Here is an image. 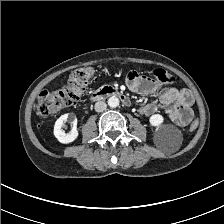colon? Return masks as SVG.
<instances>
[{"instance_id": "obj_1", "label": "colon", "mask_w": 224, "mask_h": 224, "mask_svg": "<svg viewBox=\"0 0 224 224\" xmlns=\"http://www.w3.org/2000/svg\"><path fill=\"white\" fill-rule=\"evenodd\" d=\"M155 78L164 84H173L174 76L164 68L154 71ZM94 80V69L90 66H81L75 69L68 80L67 85L55 91H42L37 99L36 113L47 117L59 110L74 105L82 96L86 87ZM199 124L197 119L190 123V130H194Z\"/></svg>"}]
</instances>
